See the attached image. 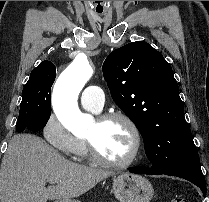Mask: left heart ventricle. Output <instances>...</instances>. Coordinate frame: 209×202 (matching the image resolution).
Listing matches in <instances>:
<instances>
[{
  "label": "left heart ventricle",
  "mask_w": 209,
  "mask_h": 202,
  "mask_svg": "<svg viewBox=\"0 0 209 202\" xmlns=\"http://www.w3.org/2000/svg\"><path fill=\"white\" fill-rule=\"evenodd\" d=\"M85 138L93 140L100 153L111 161L126 160L134 147L133 134L122 121L100 125L96 120Z\"/></svg>",
  "instance_id": "obj_1"
}]
</instances>
